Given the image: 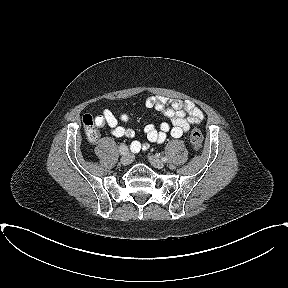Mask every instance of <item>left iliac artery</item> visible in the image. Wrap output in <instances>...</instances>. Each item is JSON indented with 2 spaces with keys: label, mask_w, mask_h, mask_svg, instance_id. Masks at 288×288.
Instances as JSON below:
<instances>
[{
  "label": "left iliac artery",
  "mask_w": 288,
  "mask_h": 288,
  "mask_svg": "<svg viewBox=\"0 0 288 288\" xmlns=\"http://www.w3.org/2000/svg\"><path fill=\"white\" fill-rule=\"evenodd\" d=\"M162 161H163V162H166V161H167V158H166V157H162Z\"/></svg>",
  "instance_id": "obj_1"
}]
</instances>
